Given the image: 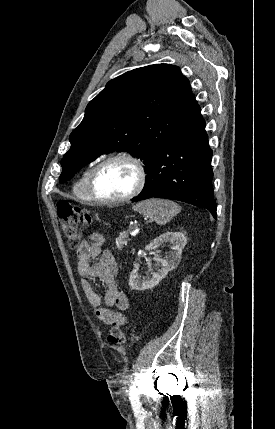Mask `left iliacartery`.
I'll use <instances>...</instances> for the list:
<instances>
[{
    "label": "left iliac artery",
    "instance_id": "44dca946",
    "mask_svg": "<svg viewBox=\"0 0 275 429\" xmlns=\"http://www.w3.org/2000/svg\"><path fill=\"white\" fill-rule=\"evenodd\" d=\"M130 400H131L132 406L134 407L139 406V396L134 386L131 388V391H130Z\"/></svg>",
    "mask_w": 275,
    "mask_h": 429
}]
</instances>
